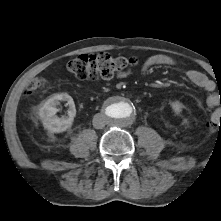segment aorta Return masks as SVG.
I'll list each match as a JSON object with an SVG mask.
<instances>
[{"label": "aorta", "mask_w": 221, "mask_h": 221, "mask_svg": "<svg viewBox=\"0 0 221 221\" xmlns=\"http://www.w3.org/2000/svg\"><path fill=\"white\" fill-rule=\"evenodd\" d=\"M135 106L126 98H117L111 100L105 106V116L107 121L115 126H127L135 117Z\"/></svg>", "instance_id": "762f6f07"}]
</instances>
